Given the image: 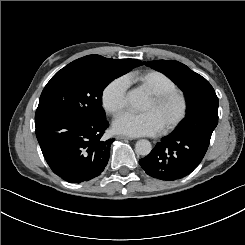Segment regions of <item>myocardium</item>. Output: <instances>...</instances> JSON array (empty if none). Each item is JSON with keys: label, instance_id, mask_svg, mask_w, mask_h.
<instances>
[{"label": "myocardium", "instance_id": "f54148a6", "mask_svg": "<svg viewBox=\"0 0 245 245\" xmlns=\"http://www.w3.org/2000/svg\"><path fill=\"white\" fill-rule=\"evenodd\" d=\"M147 93L157 107L163 106L170 101L178 102V111L162 125L163 132L174 129L183 120L187 112L188 103L184 92L179 89H152L148 90Z\"/></svg>", "mask_w": 245, "mask_h": 245}]
</instances>
